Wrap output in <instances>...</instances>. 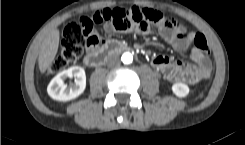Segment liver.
<instances>
[{
    "mask_svg": "<svg viewBox=\"0 0 245 145\" xmlns=\"http://www.w3.org/2000/svg\"><path fill=\"white\" fill-rule=\"evenodd\" d=\"M60 33L58 29H53L43 40L39 57L38 66L41 73H44L51 65L58 52Z\"/></svg>",
    "mask_w": 245,
    "mask_h": 145,
    "instance_id": "liver-1",
    "label": "liver"
}]
</instances>
